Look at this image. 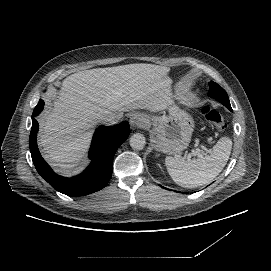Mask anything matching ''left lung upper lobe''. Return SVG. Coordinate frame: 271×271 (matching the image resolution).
<instances>
[{
	"mask_svg": "<svg viewBox=\"0 0 271 271\" xmlns=\"http://www.w3.org/2000/svg\"><path fill=\"white\" fill-rule=\"evenodd\" d=\"M208 95L210 97L215 98L216 100H218L220 103H222L229 110L232 109L226 91L221 86H219L218 84L210 83V91H209Z\"/></svg>",
	"mask_w": 271,
	"mask_h": 271,
	"instance_id": "left-lung-upper-lobe-1",
	"label": "left lung upper lobe"
}]
</instances>
